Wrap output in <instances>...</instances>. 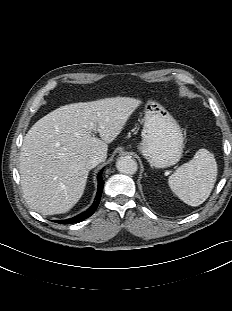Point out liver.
I'll return each instance as SVG.
<instances>
[{
  "instance_id": "liver-1",
  "label": "liver",
  "mask_w": 232,
  "mask_h": 311,
  "mask_svg": "<svg viewBox=\"0 0 232 311\" xmlns=\"http://www.w3.org/2000/svg\"><path fill=\"white\" fill-rule=\"evenodd\" d=\"M140 105L134 98H105L61 106L38 120L24 137L19 162L28 205L42 215L68 212L84 193L86 161L94 155L105 161L108 143Z\"/></svg>"
}]
</instances>
